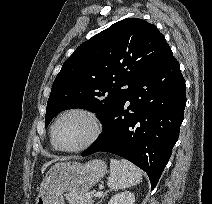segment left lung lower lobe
<instances>
[{"instance_id":"obj_1","label":"left lung lower lobe","mask_w":212,"mask_h":204,"mask_svg":"<svg viewBox=\"0 0 212 204\" xmlns=\"http://www.w3.org/2000/svg\"><path fill=\"white\" fill-rule=\"evenodd\" d=\"M185 105V80L169 49L111 111L102 134L81 155H119L147 172L154 189L177 142Z\"/></svg>"}]
</instances>
